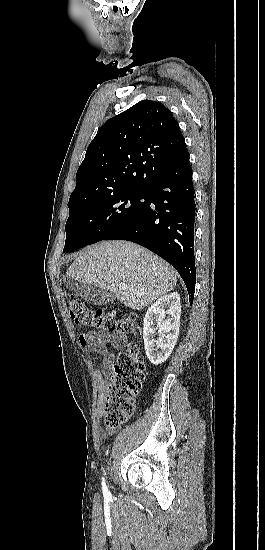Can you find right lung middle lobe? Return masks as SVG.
Masks as SVG:
<instances>
[{
  "instance_id": "1",
  "label": "right lung middle lobe",
  "mask_w": 265,
  "mask_h": 550,
  "mask_svg": "<svg viewBox=\"0 0 265 550\" xmlns=\"http://www.w3.org/2000/svg\"><path fill=\"white\" fill-rule=\"evenodd\" d=\"M148 189L120 191L92 200L70 201L63 252L104 240L135 219L146 207Z\"/></svg>"
}]
</instances>
